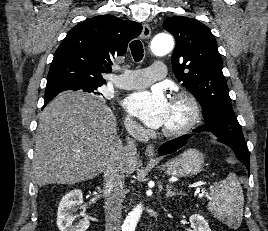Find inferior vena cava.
I'll use <instances>...</instances> for the list:
<instances>
[{
	"label": "inferior vena cava",
	"mask_w": 268,
	"mask_h": 231,
	"mask_svg": "<svg viewBox=\"0 0 268 231\" xmlns=\"http://www.w3.org/2000/svg\"><path fill=\"white\" fill-rule=\"evenodd\" d=\"M126 129L131 137L126 138V145L112 153L107 161L104 173L105 199V231L121 230L122 201L124 196L125 163L137 160L135 139L141 135L140 127L134 122H128Z\"/></svg>",
	"instance_id": "inferior-vena-cava-1"
}]
</instances>
